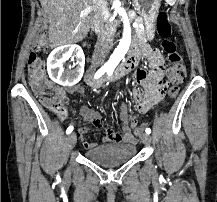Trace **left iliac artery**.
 <instances>
[{"instance_id":"1","label":"left iliac artery","mask_w":217,"mask_h":202,"mask_svg":"<svg viewBox=\"0 0 217 202\" xmlns=\"http://www.w3.org/2000/svg\"><path fill=\"white\" fill-rule=\"evenodd\" d=\"M145 132H146L147 134H150V133H151V129H150V128H146Z\"/></svg>"}]
</instances>
